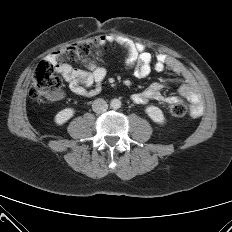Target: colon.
I'll list each match as a JSON object with an SVG mask.
<instances>
[{"instance_id": "obj_1", "label": "colon", "mask_w": 232, "mask_h": 232, "mask_svg": "<svg viewBox=\"0 0 232 232\" xmlns=\"http://www.w3.org/2000/svg\"><path fill=\"white\" fill-rule=\"evenodd\" d=\"M100 39H86L67 46L56 52L50 60H43L35 67L30 86V97L36 101L57 96L61 89V80L55 75V65L65 61H81L90 57H100L104 46ZM168 112L173 117H184L188 113V107L182 102L168 105Z\"/></svg>"}]
</instances>
